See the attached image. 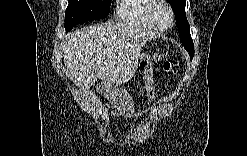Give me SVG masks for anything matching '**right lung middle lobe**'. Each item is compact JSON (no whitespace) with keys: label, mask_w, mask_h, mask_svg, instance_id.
I'll use <instances>...</instances> for the list:
<instances>
[{"label":"right lung middle lobe","mask_w":247,"mask_h":156,"mask_svg":"<svg viewBox=\"0 0 247 156\" xmlns=\"http://www.w3.org/2000/svg\"><path fill=\"white\" fill-rule=\"evenodd\" d=\"M65 12V29L70 31L75 25L106 17L111 0H68Z\"/></svg>","instance_id":"obj_1"}]
</instances>
